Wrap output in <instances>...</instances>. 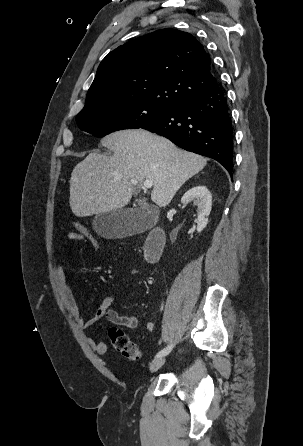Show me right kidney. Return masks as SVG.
Returning <instances> with one entry per match:
<instances>
[{
  "mask_svg": "<svg viewBox=\"0 0 303 446\" xmlns=\"http://www.w3.org/2000/svg\"><path fill=\"white\" fill-rule=\"evenodd\" d=\"M182 204L193 202L197 206V231L201 232L208 223V216L212 207V196L207 187L203 185L189 189L181 199Z\"/></svg>",
  "mask_w": 303,
  "mask_h": 446,
  "instance_id": "obj_1",
  "label": "right kidney"
}]
</instances>
